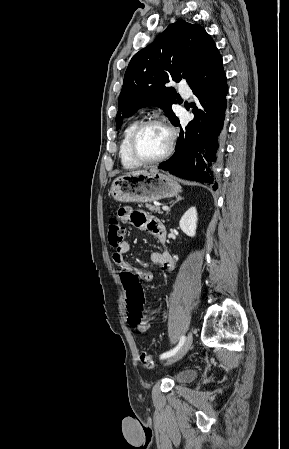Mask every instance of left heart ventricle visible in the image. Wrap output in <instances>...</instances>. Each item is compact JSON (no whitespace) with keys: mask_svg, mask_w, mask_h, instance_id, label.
<instances>
[{"mask_svg":"<svg viewBox=\"0 0 289 449\" xmlns=\"http://www.w3.org/2000/svg\"><path fill=\"white\" fill-rule=\"evenodd\" d=\"M169 136L160 125H150L142 130L137 139V152L143 159H154L167 149Z\"/></svg>","mask_w":289,"mask_h":449,"instance_id":"b2bd125f","label":"left heart ventricle"}]
</instances>
